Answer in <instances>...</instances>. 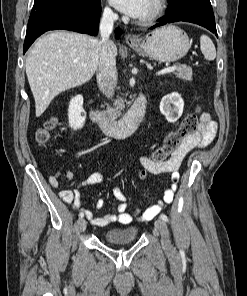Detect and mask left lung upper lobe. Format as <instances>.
Segmentation results:
<instances>
[{
	"mask_svg": "<svg viewBox=\"0 0 247 296\" xmlns=\"http://www.w3.org/2000/svg\"><path fill=\"white\" fill-rule=\"evenodd\" d=\"M185 0H168L169 8L174 9L178 5L182 4Z\"/></svg>",
	"mask_w": 247,
	"mask_h": 296,
	"instance_id": "5c2ea615",
	"label": "left lung upper lobe"
}]
</instances>
